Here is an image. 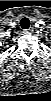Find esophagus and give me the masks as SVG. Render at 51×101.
I'll use <instances>...</instances> for the list:
<instances>
[{"instance_id":"1","label":"esophagus","mask_w":51,"mask_h":101,"mask_svg":"<svg viewBox=\"0 0 51 101\" xmlns=\"http://www.w3.org/2000/svg\"><path fill=\"white\" fill-rule=\"evenodd\" d=\"M33 32V28L23 30L24 34H31Z\"/></svg>"}]
</instances>
